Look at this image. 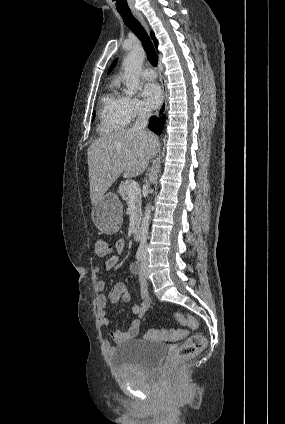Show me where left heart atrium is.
Segmentation results:
<instances>
[{
  "instance_id": "39dd6f15",
  "label": "left heart atrium",
  "mask_w": 285,
  "mask_h": 424,
  "mask_svg": "<svg viewBox=\"0 0 285 424\" xmlns=\"http://www.w3.org/2000/svg\"><path fill=\"white\" fill-rule=\"evenodd\" d=\"M142 95L147 105L151 108L158 107L161 104L163 98L160 86L154 82L146 83L143 86Z\"/></svg>"
}]
</instances>
